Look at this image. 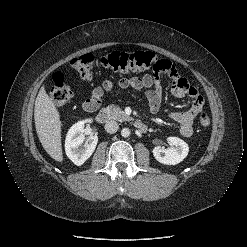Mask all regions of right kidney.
<instances>
[{"label":"right kidney","instance_id":"right-kidney-1","mask_svg":"<svg viewBox=\"0 0 247 247\" xmlns=\"http://www.w3.org/2000/svg\"><path fill=\"white\" fill-rule=\"evenodd\" d=\"M91 119L79 121L68 131L65 140L67 157L77 166H81L93 154L98 143V136L90 135L85 138V123ZM84 143V145H83Z\"/></svg>","mask_w":247,"mask_h":247}]
</instances>
